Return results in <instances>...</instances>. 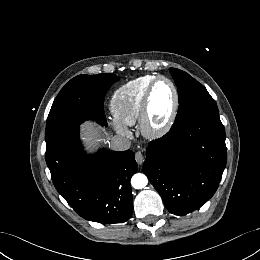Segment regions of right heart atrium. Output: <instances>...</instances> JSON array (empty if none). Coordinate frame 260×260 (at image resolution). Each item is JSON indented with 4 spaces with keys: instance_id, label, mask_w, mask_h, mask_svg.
<instances>
[{
    "instance_id": "obj_1",
    "label": "right heart atrium",
    "mask_w": 260,
    "mask_h": 260,
    "mask_svg": "<svg viewBox=\"0 0 260 260\" xmlns=\"http://www.w3.org/2000/svg\"><path fill=\"white\" fill-rule=\"evenodd\" d=\"M112 125L114 126V128L122 135H129V131L127 129V127L125 125H123L122 123H120L117 120H112Z\"/></svg>"
}]
</instances>
